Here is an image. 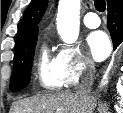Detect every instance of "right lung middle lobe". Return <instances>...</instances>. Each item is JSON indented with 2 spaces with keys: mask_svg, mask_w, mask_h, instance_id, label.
<instances>
[{
  "mask_svg": "<svg viewBox=\"0 0 123 113\" xmlns=\"http://www.w3.org/2000/svg\"><path fill=\"white\" fill-rule=\"evenodd\" d=\"M36 43L37 36L15 48L13 73L10 80L12 91H19L28 85Z\"/></svg>",
  "mask_w": 123,
  "mask_h": 113,
  "instance_id": "1",
  "label": "right lung middle lobe"
}]
</instances>
